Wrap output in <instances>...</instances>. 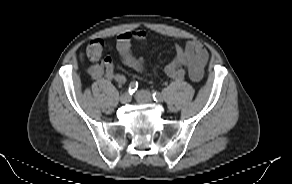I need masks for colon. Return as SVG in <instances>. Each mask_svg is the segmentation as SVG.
I'll list each match as a JSON object with an SVG mask.
<instances>
[{
	"mask_svg": "<svg viewBox=\"0 0 292 184\" xmlns=\"http://www.w3.org/2000/svg\"><path fill=\"white\" fill-rule=\"evenodd\" d=\"M103 50L104 41L101 39H94L88 44L86 48V55L90 60L96 61L101 57Z\"/></svg>",
	"mask_w": 292,
	"mask_h": 184,
	"instance_id": "obj_1",
	"label": "colon"
}]
</instances>
